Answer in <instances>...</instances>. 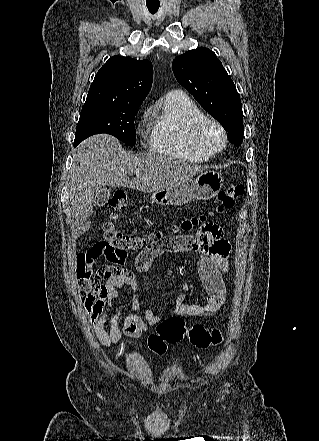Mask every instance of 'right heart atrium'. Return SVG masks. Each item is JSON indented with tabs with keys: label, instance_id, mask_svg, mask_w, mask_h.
<instances>
[{
	"label": "right heart atrium",
	"instance_id": "d8ad5b80",
	"mask_svg": "<svg viewBox=\"0 0 319 441\" xmlns=\"http://www.w3.org/2000/svg\"><path fill=\"white\" fill-rule=\"evenodd\" d=\"M152 109L147 108L140 116L139 123H143L151 114Z\"/></svg>",
	"mask_w": 319,
	"mask_h": 441
}]
</instances>
